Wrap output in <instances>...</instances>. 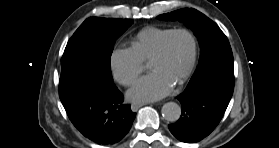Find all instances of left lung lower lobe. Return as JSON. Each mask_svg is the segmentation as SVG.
Here are the masks:
<instances>
[{
    "mask_svg": "<svg viewBox=\"0 0 279 148\" xmlns=\"http://www.w3.org/2000/svg\"><path fill=\"white\" fill-rule=\"evenodd\" d=\"M234 90V66H214L192 78L177 99L179 120L169 125L178 140L194 143L208 136L221 121Z\"/></svg>",
    "mask_w": 279,
    "mask_h": 148,
    "instance_id": "obj_1",
    "label": "left lung lower lobe"
}]
</instances>
